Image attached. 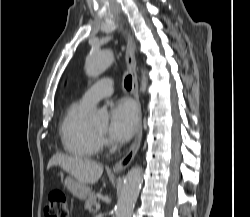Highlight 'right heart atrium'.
<instances>
[{"label":"right heart atrium","instance_id":"obj_1","mask_svg":"<svg viewBox=\"0 0 250 217\" xmlns=\"http://www.w3.org/2000/svg\"><path fill=\"white\" fill-rule=\"evenodd\" d=\"M100 143H101V145H104L105 144V140L101 139Z\"/></svg>","mask_w":250,"mask_h":217}]
</instances>
